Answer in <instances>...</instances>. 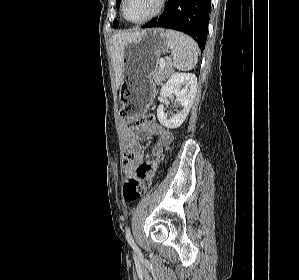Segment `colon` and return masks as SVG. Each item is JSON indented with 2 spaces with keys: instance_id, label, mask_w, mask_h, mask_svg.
<instances>
[{
  "instance_id": "1",
  "label": "colon",
  "mask_w": 299,
  "mask_h": 280,
  "mask_svg": "<svg viewBox=\"0 0 299 280\" xmlns=\"http://www.w3.org/2000/svg\"><path fill=\"white\" fill-rule=\"evenodd\" d=\"M153 120L154 116L152 114H147L141 117L136 123L135 133H144V128H142V126L148 125ZM131 154V149L128 147L124 154L125 161L130 159ZM161 158L162 156L155 160L141 163L136 170L135 178L124 183L123 198L125 202L132 203L139 200L144 195L147 187L149 186L150 179L156 169L157 163L161 160Z\"/></svg>"
}]
</instances>
